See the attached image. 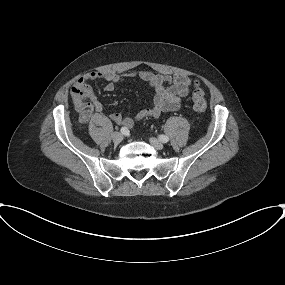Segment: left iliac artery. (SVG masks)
I'll return each mask as SVG.
<instances>
[{"label": "left iliac artery", "mask_w": 285, "mask_h": 285, "mask_svg": "<svg viewBox=\"0 0 285 285\" xmlns=\"http://www.w3.org/2000/svg\"><path fill=\"white\" fill-rule=\"evenodd\" d=\"M159 139L163 143H167L169 141V138L167 136H165V135H159Z\"/></svg>", "instance_id": "1"}]
</instances>
